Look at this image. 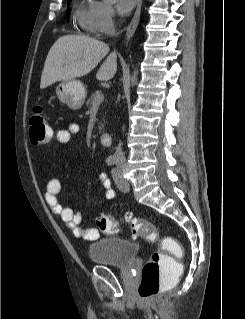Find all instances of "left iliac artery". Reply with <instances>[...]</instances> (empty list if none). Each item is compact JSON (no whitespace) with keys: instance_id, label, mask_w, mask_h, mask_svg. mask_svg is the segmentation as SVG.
<instances>
[{"instance_id":"left-iliac-artery-1","label":"left iliac artery","mask_w":245,"mask_h":319,"mask_svg":"<svg viewBox=\"0 0 245 319\" xmlns=\"http://www.w3.org/2000/svg\"><path fill=\"white\" fill-rule=\"evenodd\" d=\"M111 173H112V177H113L116 185L118 186V188L119 189H123V185L119 181V172H118V170L116 168H114V169H112Z\"/></svg>"}]
</instances>
